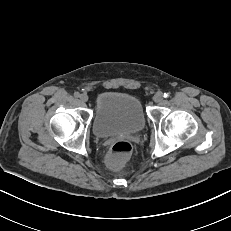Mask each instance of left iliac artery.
Returning <instances> with one entry per match:
<instances>
[{"mask_svg": "<svg viewBox=\"0 0 231 231\" xmlns=\"http://www.w3.org/2000/svg\"><path fill=\"white\" fill-rule=\"evenodd\" d=\"M169 96H170L169 93H164L163 95L164 98H168Z\"/></svg>", "mask_w": 231, "mask_h": 231, "instance_id": "44dca946", "label": "left iliac artery"}]
</instances>
